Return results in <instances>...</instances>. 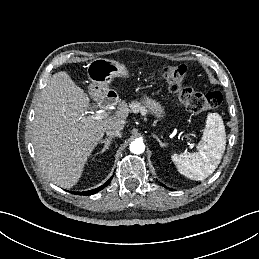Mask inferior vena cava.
Here are the masks:
<instances>
[{
	"label": "inferior vena cava",
	"mask_w": 259,
	"mask_h": 259,
	"mask_svg": "<svg viewBox=\"0 0 259 259\" xmlns=\"http://www.w3.org/2000/svg\"><path fill=\"white\" fill-rule=\"evenodd\" d=\"M106 134L109 137H112V136L121 137L122 136V132L118 128L107 129Z\"/></svg>",
	"instance_id": "obj_1"
}]
</instances>
